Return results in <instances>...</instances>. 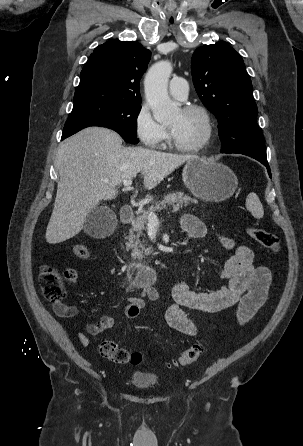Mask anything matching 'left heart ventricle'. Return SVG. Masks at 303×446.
Segmentation results:
<instances>
[{
  "instance_id": "1",
  "label": "left heart ventricle",
  "mask_w": 303,
  "mask_h": 446,
  "mask_svg": "<svg viewBox=\"0 0 303 446\" xmlns=\"http://www.w3.org/2000/svg\"><path fill=\"white\" fill-rule=\"evenodd\" d=\"M167 126L175 140L182 145H194L205 134V123L198 113H185L181 109L176 111L168 120Z\"/></svg>"
}]
</instances>
